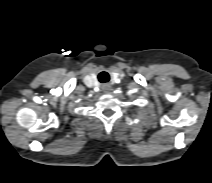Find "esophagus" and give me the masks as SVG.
Here are the masks:
<instances>
[{"mask_svg": "<svg viewBox=\"0 0 212 183\" xmlns=\"http://www.w3.org/2000/svg\"><path fill=\"white\" fill-rule=\"evenodd\" d=\"M103 90H104L105 93H108L109 90H110V87H109V86H105V87L103 88Z\"/></svg>", "mask_w": 212, "mask_h": 183, "instance_id": "esophagus-1", "label": "esophagus"}]
</instances>
